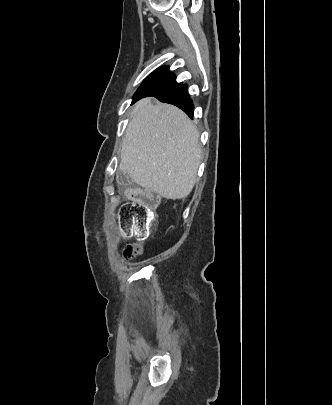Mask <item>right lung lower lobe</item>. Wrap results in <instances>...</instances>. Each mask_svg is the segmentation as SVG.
I'll return each mask as SVG.
<instances>
[{
	"label": "right lung lower lobe",
	"instance_id": "98d812e1",
	"mask_svg": "<svg viewBox=\"0 0 332 405\" xmlns=\"http://www.w3.org/2000/svg\"><path fill=\"white\" fill-rule=\"evenodd\" d=\"M187 85H178L172 89L163 92L138 93L133 97V102L147 96H155L162 102L173 104L182 109L189 117H193L194 106L188 94Z\"/></svg>",
	"mask_w": 332,
	"mask_h": 405
}]
</instances>
